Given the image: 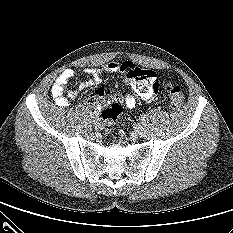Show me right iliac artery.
Instances as JSON below:
<instances>
[{"mask_svg":"<svg viewBox=\"0 0 233 233\" xmlns=\"http://www.w3.org/2000/svg\"><path fill=\"white\" fill-rule=\"evenodd\" d=\"M91 116H92V118H94V119H99L98 118V113L96 112V111H94L92 114H91Z\"/></svg>","mask_w":233,"mask_h":233,"instance_id":"obj_1","label":"right iliac artery"}]
</instances>
